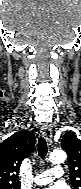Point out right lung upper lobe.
<instances>
[{
	"label": "right lung upper lobe",
	"instance_id": "obj_1",
	"mask_svg": "<svg viewBox=\"0 0 81 189\" xmlns=\"http://www.w3.org/2000/svg\"><path fill=\"white\" fill-rule=\"evenodd\" d=\"M35 145L32 131H19L0 144V187L18 186L19 167Z\"/></svg>",
	"mask_w": 81,
	"mask_h": 189
}]
</instances>
